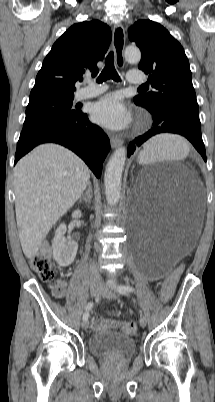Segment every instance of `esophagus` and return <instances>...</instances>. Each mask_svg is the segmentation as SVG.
I'll return each instance as SVG.
<instances>
[{
	"label": "esophagus",
	"mask_w": 215,
	"mask_h": 402,
	"mask_svg": "<svg viewBox=\"0 0 215 402\" xmlns=\"http://www.w3.org/2000/svg\"><path fill=\"white\" fill-rule=\"evenodd\" d=\"M112 44L115 52V59L118 67L124 66V47H125V31L122 25L116 24L113 28ZM111 147L116 148L122 145L123 140L119 137L112 136L110 138Z\"/></svg>",
	"instance_id": "esophagus-1"
}]
</instances>
